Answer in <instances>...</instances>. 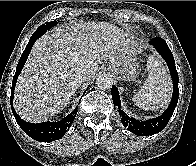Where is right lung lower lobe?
I'll return each instance as SVG.
<instances>
[{
  "label": "right lung lower lobe",
  "instance_id": "obj_1",
  "mask_svg": "<svg viewBox=\"0 0 196 166\" xmlns=\"http://www.w3.org/2000/svg\"><path fill=\"white\" fill-rule=\"evenodd\" d=\"M38 38L39 36L32 35L29 43L27 44L24 52L21 55V58L16 68L15 75L13 77L10 102H11L13 115L17 123L21 127V129L34 140L42 141V142H50V141H55L60 139L66 133V131L69 129L72 122L74 121L78 109L76 108L73 112H71L69 115H67L65 118H63L58 122H42V123L35 124V123H28L22 120L19 117V115L15 112L12 104L13 97H14V88H15L17 78L25 64V61L30 53L33 44Z\"/></svg>",
  "mask_w": 196,
  "mask_h": 166
}]
</instances>
